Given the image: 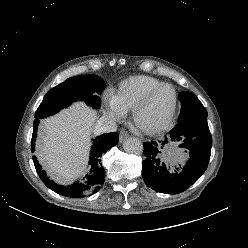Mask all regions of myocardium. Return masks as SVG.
I'll use <instances>...</instances> for the list:
<instances>
[{"mask_svg":"<svg viewBox=\"0 0 248 248\" xmlns=\"http://www.w3.org/2000/svg\"><path fill=\"white\" fill-rule=\"evenodd\" d=\"M162 88H170L173 92V104H172L171 111L168 115L167 120L163 124H161L160 126H157L154 128H145L139 124L138 118H139L141 112L147 107V105L149 104L152 97ZM177 107H178L177 90L171 84L161 83L160 85H158V86L152 88L150 91H148L144 95V97L132 109V116H131L132 122H133L134 126L139 131H141L147 135H150V136L158 135V134L165 132L166 130H168L171 127V125L173 124L175 115H176Z\"/></svg>","mask_w":248,"mask_h":248,"instance_id":"1","label":"myocardium"}]
</instances>
